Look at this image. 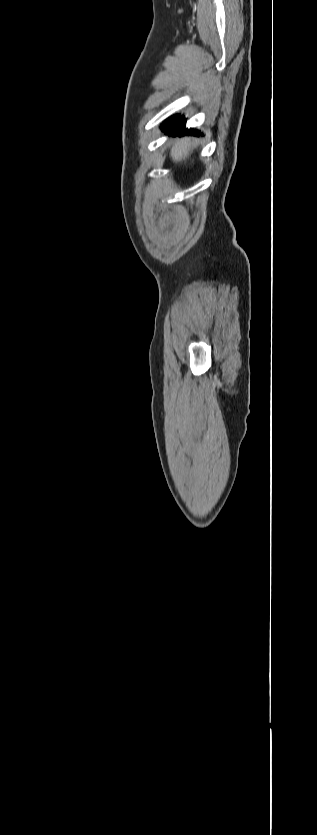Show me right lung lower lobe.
I'll list each match as a JSON object with an SVG mask.
<instances>
[{
    "mask_svg": "<svg viewBox=\"0 0 317 835\" xmlns=\"http://www.w3.org/2000/svg\"><path fill=\"white\" fill-rule=\"evenodd\" d=\"M185 122V118H183L182 116L175 115L166 120L161 125V128L164 129L165 133L172 134L173 136L200 135V131L193 129H185Z\"/></svg>",
    "mask_w": 317,
    "mask_h": 835,
    "instance_id": "obj_1",
    "label": "right lung lower lobe"
}]
</instances>
